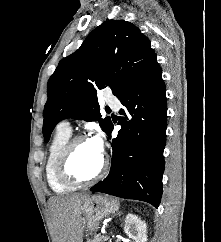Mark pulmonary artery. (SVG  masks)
I'll return each mask as SVG.
<instances>
[{
  "label": "pulmonary artery",
  "instance_id": "e3ab8cb5",
  "mask_svg": "<svg viewBox=\"0 0 221 242\" xmlns=\"http://www.w3.org/2000/svg\"><path fill=\"white\" fill-rule=\"evenodd\" d=\"M107 103L109 104V106H111V107H113L115 109L119 108V101L117 99H109L107 101ZM58 129L66 131V132H69V133H71V131H72L71 125H70V123L68 121L61 122L58 125Z\"/></svg>",
  "mask_w": 221,
  "mask_h": 242
}]
</instances>
